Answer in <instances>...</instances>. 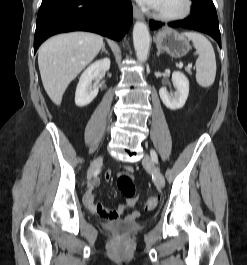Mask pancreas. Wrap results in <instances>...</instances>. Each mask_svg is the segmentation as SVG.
<instances>
[{"mask_svg": "<svg viewBox=\"0 0 247 265\" xmlns=\"http://www.w3.org/2000/svg\"><path fill=\"white\" fill-rule=\"evenodd\" d=\"M186 71H187L188 73H191L190 68H186Z\"/></svg>", "mask_w": 247, "mask_h": 265, "instance_id": "1", "label": "pancreas"}]
</instances>
